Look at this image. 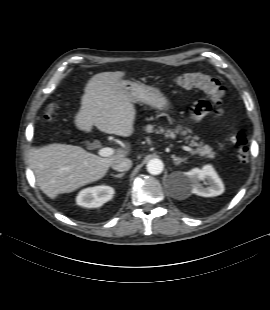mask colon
Returning <instances> with one entry per match:
<instances>
[{
	"mask_svg": "<svg viewBox=\"0 0 270 310\" xmlns=\"http://www.w3.org/2000/svg\"><path fill=\"white\" fill-rule=\"evenodd\" d=\"M174 83L182 88H199L207 95L210 96L211 100L219 106L217 113L219 115L223 114L222 105L224 98L227 94L226 88L211 75L201 73V72H188L183 73L174 78ZM209 103L205 101H200L195 106L196 111L203 114L209 110ZM55 107L51 105L46 113L45 118L51 121L53 118ZM231 142L236 150L237 157L241 162H247L249 159V146H248V136L245 132L237 130L231 134Z\"/></svg>",
	"mask_w": 270,
	"mask_h": 310,
	"instance_id": "1",
	"label": "colon"
}]
</instances>
